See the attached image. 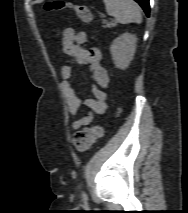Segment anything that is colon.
Listing matches in <instances>:
<instances>
[{"instance_id":"obj_1","label":"colon","mask_w":188,"mask_h":213,"mask_svg":"<svg viewBox=\"0 0 188 213\" xmlns=\"http://www.w3.org/2000/svg\"><path fill=\"white\" fill-rule=\"evenodd\" d=\"M70 9L84 22L92 21V13L90 9L83 5H74L65 0H49L44 5V10L47 12L60 11ZM104 126L95 125L88 128L78 130L73 136V145L79 151L89 149L92 144L104 134Z\"/></svg>"}]
</instances>
